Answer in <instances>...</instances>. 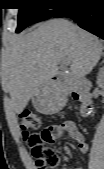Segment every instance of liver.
<instances>
[{
	"instance_id": "liver-1",
	"label": "liver",
	"mask_w": 104,
	"mask_h": 169,
	"mask_svg": "<svg viewBox=\"0 0 104 169\" xmlns=\"http://www.w3.org/2000/svg\"><path fill=\"white\" fill-rule=\"evenodd\" d=\"M102 41L65 19H51L16 37L2 73L15 113L58 73L62 60L69 62L75 78H83L103 55Z\"/></svg>"
}]
</instances>
